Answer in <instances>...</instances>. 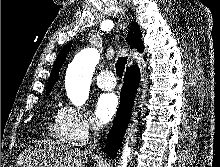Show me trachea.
<instances>
[{
  "instance_id": "trachea-1",
  "label": "trachea",
  "mask_w": 220,
  "mask_h": 167,
  "mask_svg": "<svg viewBox=\"0 0 220 167\" xmlns=\"http://www.w3.org/2000/svg\"><path fill=\"white\" fill-rule=\"evenodd\" d=\"M126 64H127L126 56H121L118 58L115 67H116V74L118 75L119 78H122Z\"/></svg>"
}]
</instances>
